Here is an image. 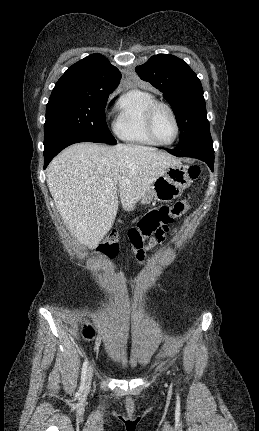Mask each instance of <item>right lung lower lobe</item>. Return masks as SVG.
<instances>
[{"instance_id":"right-lung-lower-lobe-1","label":"right lung lower lobe","mask_w":259,"mask_h":431,"mask_svg":"<svg viewBox=\"0 0 259 431\" xmlns=\"http://www.w3.org/2000/svg\"><path fill=\"white\" fill-rule=\"evenodd\" d=\"M78 142H93L87 137L79 135L61 136L44 145V168L50 163L54 156L67 146Z\"/></svg>"}]
</instances>
